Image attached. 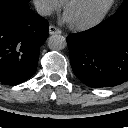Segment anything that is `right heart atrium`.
I'll list each match as a JSON object with an SVG mask.
<instances>
[{
	"label": "right heart atrium",
	"instance_id": "d8ad5b80",
	"mask_svg": "<svg viewBox=\"0 0 128 128\" xmlns=\"http://www.w3.org/2000/svg\"><path fill=\"white\" fill-rule=\"evenodd\" d=\"M38 11L43 15H51L59 11L63 5L61 0H34Z\"/></svg>",
	"mask_w": 128,
	"mask_h": 128
}]
</instances>
